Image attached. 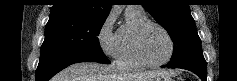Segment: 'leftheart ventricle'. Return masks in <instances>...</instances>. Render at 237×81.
Instances as JSON below:
<instances>
[{
    "label": "left heart ventricle",
    "instance_id": "b2bd125f",
    "mask_svg": "<svg viewBox=\"0 0 237 81\" xmlns=\"http://www.w3.org/2000/svg\"><path fill=\"white\" fill-rule=\"evenodd\" d=\"M142 51L148 61L160 62L167 58L170 44L160 29L150 27L146 30L142 39Z\"/></svg>",
    "mask_w": 237,
    "mask_h": 81
}]
</instances>
